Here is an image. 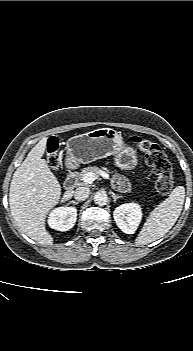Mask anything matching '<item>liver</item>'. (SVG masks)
Instances as JSON below:
<instances>
[{"label":"liver","mask_w":193,"mask_h":351,"mask_svg":"<svg viewBox=\"0 0 193 351\" xmlns=\"http://www.w3.org/2000/svg\"><path fill=\"white\" fill-rule=\"evenodd\" d=\"M46 146L47 137H44L14 172L9 205L12 217L23 233L39 244L51 245L53 237L46 229L45 220L60 201L61 186L42 158ZM72 195L73 190H67L61 201L70 199Z\"/></svg>","instance_id":"liver-1"}]
</instances>
